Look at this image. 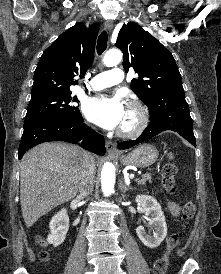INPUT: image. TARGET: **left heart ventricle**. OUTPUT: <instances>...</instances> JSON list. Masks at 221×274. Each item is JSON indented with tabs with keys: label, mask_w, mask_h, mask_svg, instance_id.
<instances>
[{
	"label": "left heart ventricle",
	"mask_w": 221,
	"mask_h": 274,
	"mask_svg": "<svg viewBox=\"0 0 221 274\" xmlns=\"http://www.w3.org/2000/svg\"><path fill=\"white\" fill-rule=\"evenodd\" d=\"M135 121H136L135 113L132 110L126 108L121 127L125 128V127L132 126L135 123Z\"/></svg>",
	"instance_id": "left-heart-ventricle-1"
}]
</instances>
